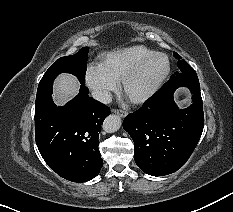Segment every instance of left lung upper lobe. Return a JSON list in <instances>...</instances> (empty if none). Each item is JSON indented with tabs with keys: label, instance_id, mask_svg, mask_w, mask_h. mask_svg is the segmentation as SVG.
I'll use <instances>...</instances> for the list:
<instances>
[{
	"label": "left lung upper lobe",
	"instance_id": "1",
	"mask_svg": "<svg viewBox=\"0 0 233 212\" xmlns=\"http://www.w3.org/2000/svg\"><path fill=\"white\" fill-rule=\"evenodd\" d=\"M174 57L178 59V68L179 72H176L175 75L171 77H177V76H186L188 74H196L195 70L184 60L180 55L177 53H173Z\"/></svg>",
	"mask_w": 233,
	"mask_h": 212
}]
</instances>
